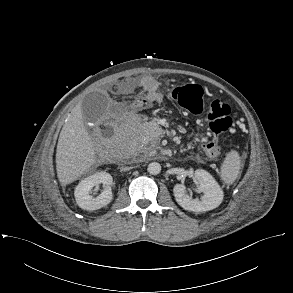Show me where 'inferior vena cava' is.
<instances>
[{
	"label": "inferior vena cava",
	"mask_w": 293,
	"mask_h": 293,
	"mask_svg": "<svg viewBox=\"0 0 293 293\" xmlns=\"http://www.w3.org/2000/svg\"><path fill=\"white\" fill-rule=\"evenodd\" d=\"M129 169H131V167H122V171H126V170H129Z\"/></svg>",
	"instance_id": "1"
}]
</instances>
